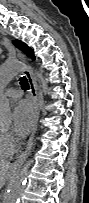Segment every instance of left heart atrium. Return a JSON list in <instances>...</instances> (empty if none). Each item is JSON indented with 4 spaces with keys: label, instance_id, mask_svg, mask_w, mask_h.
<instances>
[{
    "label": "left heart atrium",
    "instance_id": "1",
    "mask_svg": "<svg viewBox=\"0 0 89 203\" xmlns=\"http://www.w3.org/2000/svg\"><path fill=\"white\" fill-rule=\"evenodd\" d=\"M15 131L20 136H26L34 126L35 109L29 101H21L13 114Z\"/></svg>",
    "mask_w": 89,
    "mask_h": 203
}]
</instances>
